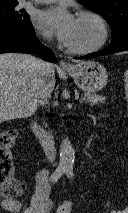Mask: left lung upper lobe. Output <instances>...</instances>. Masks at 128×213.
I'll use <instances>...</instances> for the list:
<instances>
[{
    "mask_svg": "<svg viewBox=\"0 0 128 213\" xmlns=\"http://www.w3.org/2000/svg\"><path fill=\"white\" fill-rule=\"evenodd\" d=\"M93 11L103 15L113 30L112 37L117 38L128 31V0H80Z\"/></svg>",
    "mask_w": 128,
    "mask_h": 213,
    "instance_id": "obj_1",
    "label": "left lung upper lobe"
}]
</instances>
